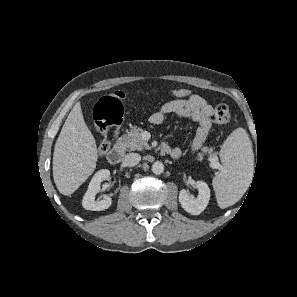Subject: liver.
<instances>
[{
    "label": "liver",
    "mask_w": 297,
    "mask_h": 297,
    "mask_svg": "<svg viewBox=\"0 0 297 297\" xmlns=\"http://www.w3.org/2000/svg\"><path fill=\"white\" fill-rule=\"evenodd\" d=\"M98 158L95 139L85 124L81 105L69 113L53 153V178L58 191L70 196L93 173Z\"/></svg>",
    "instance_id": "obj_1"
}]
</instances>
